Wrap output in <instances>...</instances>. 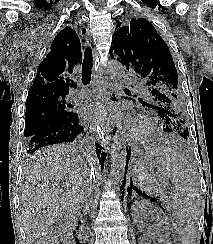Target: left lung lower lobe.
I'll list each match as a JSON object with an SVG mask.
<instances>
[{
	"instance_id": "0a47b994",
	"label": "left lung lower lobe",
	"mask_w": 213,
	"mask_h": 244,
	"mask_svg": "<svg viewBox=\"0 0 213 244\" xmlns=\"http://www.w3.org/2000/svg\"><path fill=\"white\" fill-rule=\"evenodd\" d=\"M168 127V126H167ZM167 127L166 125L163 127V131L167 130ZM130 155H131V147H129V149L127 148V162H126V169H125V175H124V178L126 176V171H127V166H128V161L130 159ZM124 184H125V179H124ZM124 184H123V187H124Z\"/></svg>"
}]
</instances>
